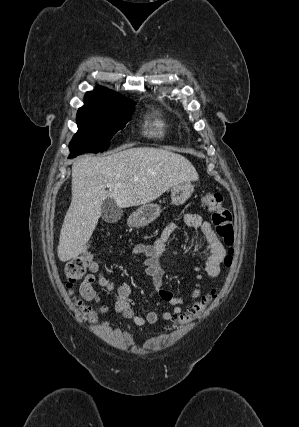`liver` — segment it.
Returning a JSON list of instances; mask_svg holds the SVG:
<instances>
[{"mask_svg": "<svg viewBox=\"0 0 299 427\" xmlns=\"http://www.w3.org/2000/svg\"><path fill=\"white\" fill-rule=\"evenodd\" d=\"M198 178L187 158L159 148H129L105 157L77 158L72 165V200L60 231L58 258L66 262L86 252L105 199H113L119 208L144 205L174 185Z\"/></svg>", "mask_w": 299, "mask_h": 427, "instance_id": "6515ba94", "label": "liver"}]
</instances>
